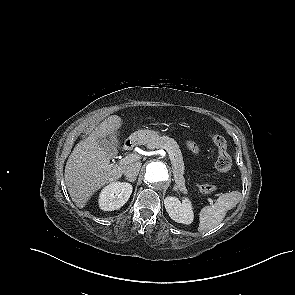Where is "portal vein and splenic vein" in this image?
I'll list each match as a JSON object with an SVG mask.
<instances>
[{"mask_svg":"<svg viewBox=\"0 0 295 295\" xmlns=\"http://www.w3.org/2000/svg\"><path fill=\"white\" fill-rule=\"evenodd\" d=\"M163 149H165L169 155V158L172 162L173 160V154L171 152L170 149L166 148V147H162ZM140 158V156L138 154H129L128 156H126L125 158H123L122 160H120V164H129L133 161H136ZM207 201L209 204H213V199L211 198H207Z\"/></svg>","mask_w":295,"mask_h":295,"instance_id":"1","label":"portal vein and splenic vein"}]
</instances>
